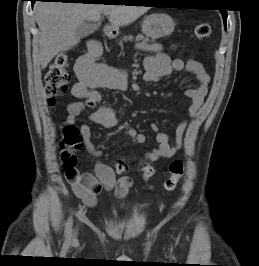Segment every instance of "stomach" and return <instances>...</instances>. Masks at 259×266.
Here are the masks:
<instances>
[{
	"label": "stomach",
	"mask_w": 259,
	"mask_h": 266,
	"mask_svg": "<svg viewBox=\"0 0 259 266\" xmlns=\"http://www.w3.org/2000/svg\"><path fill=\"white\" fill-rule=\"evenodd\" d=\"M175 23L166 14H151L142 23V32L152 39H159L173 33Z\"/></svg>",
	"instance_id": "1"
}]
</instances>
